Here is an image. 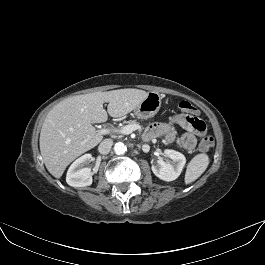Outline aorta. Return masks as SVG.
I'll return each mask as SVG.
<instances>
[{
	"label": "aorta",
	"instance_id": "aorta-1",
	"mask_svg": "<svg viewBox=\"0 0 265 265\" xmlns=\"http://www.w3.org/2000/svg\"><path fill=\"white\" fill-rule=\"evenodd\" d=\"M114 151L116 154L122 155L127 151V147L122 142H118L114 146Z\"/></svg>",
	"mask_w": 265,
	"mask_h": 265
}]
</instances>
